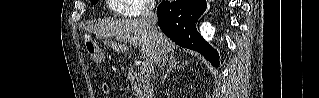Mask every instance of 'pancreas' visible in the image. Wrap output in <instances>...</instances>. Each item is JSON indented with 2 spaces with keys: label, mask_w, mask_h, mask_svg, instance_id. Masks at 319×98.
<instances>
[{
  "label": "pancreas",
  "mask_w": 319,
  "mask_h": 98,
  "mask_svg": "<svg viewBox=\"0 0 319 98\" xmlns=\"http://www.w3.org/2000/svg\"><path fill=\"white\" fill-rule=\"evenodd\" d=\"M129 77L132 82H134L136 95L138 98H148L153 91V84L151 82V76L145 72L133 73L130 70Z\"/></svg>",
  "instance_id": "pancreas-1"
}]
</instances>
